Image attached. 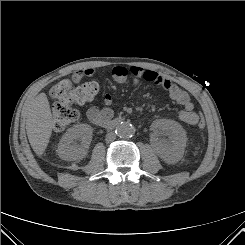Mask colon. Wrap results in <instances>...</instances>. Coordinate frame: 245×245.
Masks as SVG:
<instances>
[{"label":"colon","instance_id":"colon-1","mask_svg":"<svg viewBox=\"0 0 245 245\" xmlns=\"http://www.w3.org/2000/svg\"><path fill=\"white\" fill-rule=\"evenodd\" d=\"M99 91V85L95 81H87L74 86L69 80H62L51 90L52 97L56 100L53 105V125L55 131H62L79 117V111L72 104L84 103L92 100ZM199 130L205 128V122L200 119Z\"/></svg>","mask_w":245,"mask_h":245}]
</instances>
